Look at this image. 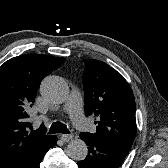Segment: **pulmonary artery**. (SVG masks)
Wrapping results in <instances>:
<instances>
[{"mask_svg":"<svg viewBox=\"0 0 168 168\" xmlns=\"http://www.w3.org/2000/svg\"><path fill=\"white\" fill-rule=\"evenodd\" d=\"M65 111L69 114L74 126L80 130H85L87 121L83 115V99L81 94L74 90L64 107Z\"/></svg>","mask_w":168,"mask_h":168,"instance_id":"pulmonary-artery-1","label":"pulmonary artery"}]
</instances>
